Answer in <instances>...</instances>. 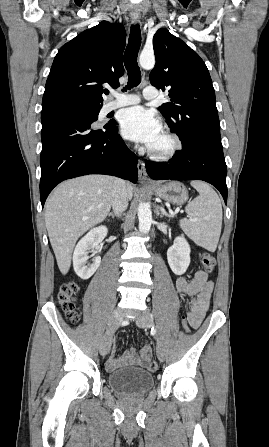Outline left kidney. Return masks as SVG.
<instances>
[{
    "mask_svg": "<svg viewBox=\"0 0 269 447\" xmlns=\"http://www.w3.org/2000/svg\"><path fill=\"white\" fill-rule=\"evenodd\" d=\"M167 259L173 273H185L190 263V245L183 235L175 237L173 245L168 247Z\"/></svg>",
    "mask_w": 269,
    "mask_h": 447,
    "instance_id": "1",
    "label": "left kidney"
}]
</instances>
